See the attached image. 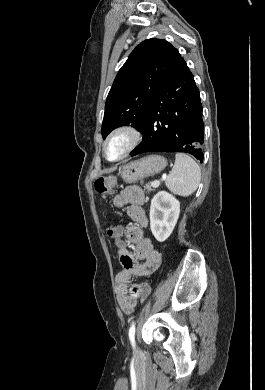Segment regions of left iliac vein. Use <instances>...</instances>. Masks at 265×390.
<instances>
[{"label": "left iliac vein", "mask_w": 265, "mask_h": 390, "mask_svg": "<svg viewBox=\"0 0 265 390\" xmlns=\"http://www.w3.org/2000/svg\"><path fill=\"white\" fill-rule=\"evenodd\" d=\"M136 352H137V353L139 352V349H138V348H136Z\"/></svg>", "instance_id": "4c4485c4"}]
</instances>
